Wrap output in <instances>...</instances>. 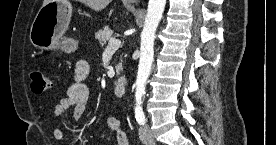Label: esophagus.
I'll return each mask as SVG.
<instances>
[{"mask_svg":"<svg viewBox=\"0 0 276 145\" xmlns=\"http://www.w3.org/2000/svg\"><path fill=\"white\" fill-rule=\"evenodd\" d=\"M128 3H137L138 0H127Z\"/></svg>","mask_w":276,"mask_h":145,"instance_id":"esophagus-1","label":"esophagus"}]
</instances>
